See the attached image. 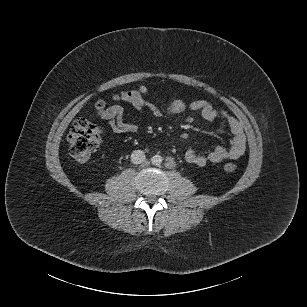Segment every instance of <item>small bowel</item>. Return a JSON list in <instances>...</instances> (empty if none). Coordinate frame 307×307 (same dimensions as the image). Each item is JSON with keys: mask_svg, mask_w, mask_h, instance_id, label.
<instances>
[{"mask_svg": "<svg viewBox=\"0 0 307 307\" xmlns=\"http://www.w3.org/2000/svg\"><path fill=\"white\" fill-rule=\"evenodd\" d=\"M149 92L150 89L142 85L135 90L120 92L117 98L126 101L136 111L144 109L149 111L155 118L163 115H178L190 109L198 113L206 121H223L229 128L232 134L229 146H215L202 152L188 149L184 157L189 164L204 166L209 162L219 163L226 160H235L244 154L246 149V136L243 127L235 117L224 109L217 108L214 104L204 99H195L190 102H186L183 99H175L167 106L161 108L144 99V95ZM99 115L107 122L110 129L117 134H130L137 131L136 124L125 120V110L119 104L113 103L104 111L100 112Z\"/></svg>", "mask_w": 307, "mask_h": 307, "instance_id": "c3829d8e", "label": "small bowel"}]
</instances>
